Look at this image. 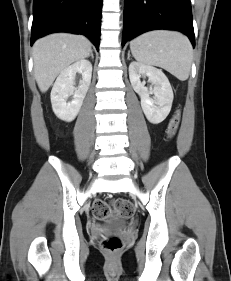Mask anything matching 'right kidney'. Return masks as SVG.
<instances>
[{"label":"right kidney","instance_id":"right-kidney-1","mask_svg":"<svg viewBox=\"0 0 231 281\" xmlns=\"http://www.w3.org/2000/svg\"><path fill=\"white\" fill-rule=\"evenodd\" d=\"M76 73L82 74L78 87H74ZM91 76L92 64L85 59L79 60L61 71L51 91L52 109L58 118L67 122L75 119L89 89ZM71 95L73 96L72 101L67 102Z\"/></svg>","mask_w":231,"mask_h":281}]
</instances>
